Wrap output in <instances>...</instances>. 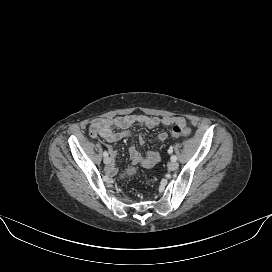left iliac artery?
<instances>
[{
    "mask_svg": "<svg viewBox=\"0 0 272 272\" xmlns=\"http://www.w3.org/2000/svg\"><path fill=\"white\" fill-rule=\"evenodd\" d=\"M173 152V150H172V148H170L169 150H168V153H172ZM177 160V157L175 156V155H172L171 156V161H176Z\"/></svg>",
    "mask_w": 272,
    "mask_h": 272,
    "instance_id": "1",
    "label": "left iliac artery"
}]
</instances>
